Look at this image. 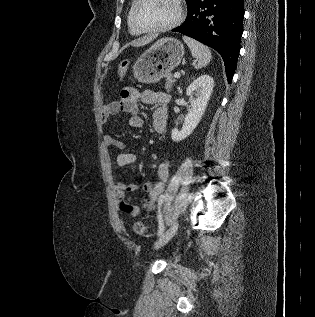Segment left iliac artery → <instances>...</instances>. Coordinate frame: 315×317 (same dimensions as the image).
<instances>
[{
    "instance_id": "obj_1",
    "label": "left iliac artery",
    "mask_w": 315,
    "mask_h": 317,
    "mask_svg": "<svg viewBox=\"0 0 315 317\" xmlns=\"http://www.w3.org/2000/svg\"><path fill=\"white\" fill-rule=\"evenodd\" d=\"M164 199H165V196H162L158 202V221H159L158 236H161L164 232V223H163L162 214H161V206Z\"/></svg>"
}]
</instances>
